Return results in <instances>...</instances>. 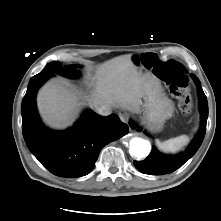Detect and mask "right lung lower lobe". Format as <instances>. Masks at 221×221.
I'll list each match as a JSON object with an SVG mask.
<instances>
[{"instance_id":"obj_1","label":"right lung lower lobe","mask_w":221,"mask_h":221,"mask_svg":"<svg viewBox=\"0 0 221 221\" xmlns=\"http://www.w3.org/2000/svg\"><path fill=\"white\" fill-rule=\"evenodd\" d=\"M48 73L31 78L22 101V131L31 153L51 173L76 178L94 168L101 149L126 133L128 126L115 114L100 116L90 110L65 131L47 129L37 113L36 93L50 77Z\"/></svg>"}]
</instances>
